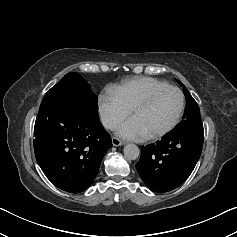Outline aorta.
<instances>
[{
	"instance_id": "762f6f07",
	"label": "aorta",
	"mask_w": 237,
	"mask_h": 237,
	"mask_svg": "<svg viewBox=\"0 0 237 237\" xmlns=\"http://www.w3.org/2000/svg\"><path fill=\"white\" fill-rule=\"evenodd\" d=\"M124 156L128 160H135L140 155V150L135 144H127L124 147Z\"/></svg>"
}]
</instances>
